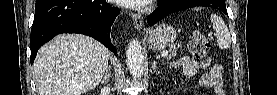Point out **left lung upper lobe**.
Returning a JSON list of instances; mask_svg holds the SVG:
<instances>
[{
  "label": "left lung upper lobe",
  "mask_w": 277,
  "mask_h": 95,
  "mask_svg": "<svg viewBox=\"0 0 277 95\" xmlns=\"http://www.w3.org/2000/svg\"><path fill=\"white\" fill-rule=\"evenodd\" d=\"M200 6L220 8L225 6L224 0H202Z\"/></svg>",
  "instance_id": "1"
}]
</instances>
